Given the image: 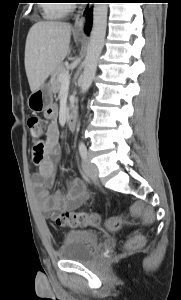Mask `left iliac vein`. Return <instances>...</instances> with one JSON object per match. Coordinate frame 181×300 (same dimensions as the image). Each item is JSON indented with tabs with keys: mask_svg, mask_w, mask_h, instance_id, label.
I'll list each match as a JSON object with an SVG mask.
<instances>
[{
	"mask_svg": "<svg viewBox=\"0 0 181 300\" xmlns=\"http://www.w3.org/2000/svg\"><path fill=\"white\" fill-rule=\"evenodd\" d=\"M82 167L88 178H90L94 182L98 181L99 171H98L97 166L94 163L90 162L87 159H84L82 162Z\"/></svg>",
	"mask_w": 181,
	"mask_h": 300,
	"instance_id": "4c4485c4",
	"label": "left iliac vein"
}]
</instances>
